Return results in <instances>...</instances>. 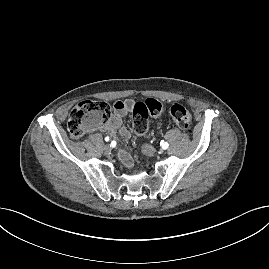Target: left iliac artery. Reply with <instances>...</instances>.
Instances as JSON below:
<instances>
[{
  "mask_svg": "<svg viewBox=\"0 0 269 269\" xmlns=\"http://www.w3.org/2000/svg\"><path fill=\"white\" fill-rule=\"evenodd\" d=\"M160 145H161V147H162L163 149H167V148L169 147V144H168L167 142H165L164 140H162V141L160 142Z\"/></svg>",
  "mask_w": 269,
  "mask_h": 269,
  "instance_id": "44dca946",
  "label": "left iliac artery"
}]
</instances>
